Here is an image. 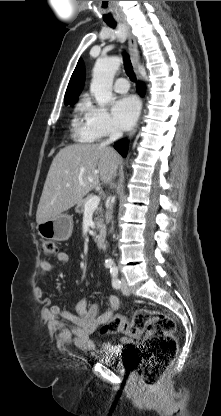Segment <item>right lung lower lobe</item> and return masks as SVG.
<instances>
[{"mask_svg": "<svg viewBox=\"0 0 221 416\" xmlns=\"http://www.w3.org/2000/svg\"><path fill=\"white\" fill-rule=\"evenodd\" d=\"M137 89L141 95L144 94L145 87L142 83L137 84ZM127 147H128V142L126 140L119 141L114 145V148L124 157L127 154Z\"/></svg>", "mask_w": 221, "mask_h": 416, "instance_id": "right-lung-lower-lobe-1", "label": "right lung lower lobe"}]
</instances>
